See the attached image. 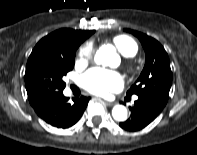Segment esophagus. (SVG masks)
Listing matches in <instances>:
<instances>
[{
    "label": "esophagus",
    "instance_id": "34e87169",
    "mask_svg": "<svg viewBox=\"0 0 197 155\" xmlns=\"http://www.w3.org/2000/svg\"><path fill=\"white\" fill-rule=\"evenodd\" d=\"M105 103L108 105V106H113L115 103L114 102H110V101H105Z\"/></svg>",
    "mask_w": 197,
    "mask_h": 155
}]
</instances>
